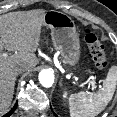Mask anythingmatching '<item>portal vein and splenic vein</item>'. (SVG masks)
Returning a JSON list of instances; mask_svg holds the SVG:
<instances>
[{
	"label": "portal vein and splenic vein",
	"mask_w": 117,
	"mask_h": 117,
	"mask_svg": "<svg viewBox=\"0 0 117 117\" xmlns=\"http://www.w3.org/2000/svg\"><path fill=\"white\" fill-rule=\"evenodd\" d=\"M7 56H8L7 53H4V54H3V57H7ZM56 66H57L60 70H63L62 66H61L59 63H58ZM75 80H77V78H75ZM87 82L89 83V85H91L92 89L95 88V85H94V82H93V81H87ZM84 84H85V83H83L82 86H83Z\"/></svg>",
	"instance_id": "obj_1"
}]
</instances>
